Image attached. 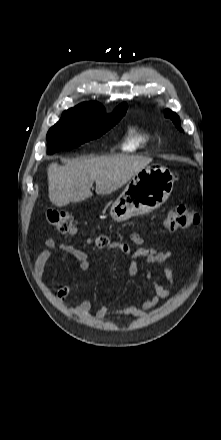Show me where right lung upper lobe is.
Masks as SVG:
<instances>
[{"mask_svg": "<svg viewBox=\"0 0 221 440\" xmlns=\"http://www.w3.org/2000/svg\"><path fill=\"white\" fill-rule=\"evenodd\" d=\"M125 108H127V104L123 103V104L119 105L115 110H122ZM99 109H104V107L101 104H99L98 102H85V103H81V104H79L69 110L90 111V110H99Z\"/></svg>", "mask_w": 221, "mask_h": 440, "instance_id": "right-lung-upper-lobe-1", "label": "right lung upper lobe"}]
</instances>
